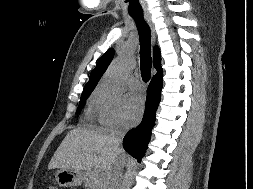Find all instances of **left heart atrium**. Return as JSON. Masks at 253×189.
<instances>
[{
	"instance_id": "left-heart-atrium-1",
	"label": "left heart atrium",
	"mask_w": 253,
	"mask_h": 189,
	"mask_svg": "<svg viewBox=\"0 0 253 189\" xmlns=\"http://www.w3.org/2000/svg\"><path fill=\"white\" fill-rule=\"evenodd\" d=\"M144 109L143 99L139 95H130L126 99L123 120L126 125L136 123L142 116Z\"/></svg>"
}]
</instances>
